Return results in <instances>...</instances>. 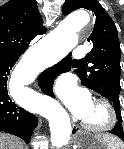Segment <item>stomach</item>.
Here are the masks:
<instances>
[{
	"instance_id": "stomach-1",
	"label": "stomach",
	"mask_w": 124,
	"mask_h": 149,
	"mask_svg": "<svg viewBox=\"0 0 124 149\" xmlns=\"http://www.w3.org/2000/svg\"><path fill=\"white\" fill-rule=\"evenodd\" d=\"M111 136L92 135L83 131H79L75 135V142L79 149H109V142H112Z\"/></svg>"
}]
</instances>
